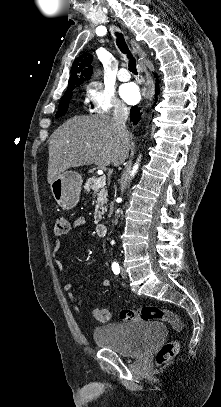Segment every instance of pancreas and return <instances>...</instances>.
<instances>
[{"instance_id":"pancreas-1","label":"pancreas","mask_w":221,"mask_h":407,"mask_svg":"<svg viewBox=\"0 0 221 407\" xmlns=\"http://www.w3.org/2000/svg\"><path fill=\"white\" fill-rule=\"evenodd\" d=\"M98 180L97 177H92L87 179L85 185H84V189L86 193H92V192H96L97 193V205L95 208V212H94V223H98L101 219L102 216L104 215L105 211H106V205H107V190L106 187L103 186L101 188H96L95 184L96 181Z\"/></svg>"}]
</instances>
